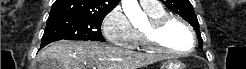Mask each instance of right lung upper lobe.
<instances>
[{
    "mask_svg": "<svg viewBox=\"0 0 246 69\" xmlns=\"http://www.w3.org/2000/svg\"><path fill=\"white\" fill-rule=\"evenodd\" d=\"M120 0H56L49 18L62 16H106Z\"/></svg>",
    "mask_w": 246,
    "mask_h": 69,
    "instance_id": "right-lung-upper-lobe-1",
    "label": "right lung upper lobe"
}]
</instances>
